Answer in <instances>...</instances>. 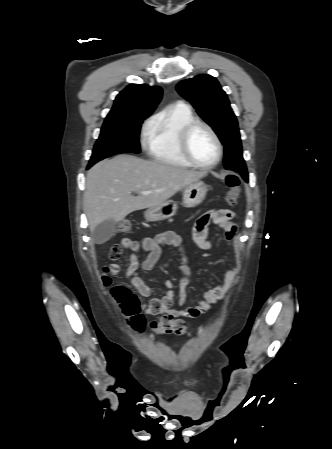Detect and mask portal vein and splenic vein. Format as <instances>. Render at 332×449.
<instances>
[{
    "mask_svg": "<svg viewBox=\"0 0 332 449\" xmlns=\"http://www.w3.org/2000/svg\"><path fill=\"white\" fill-rule=\"evenodd\" d=\"M151 193V191H143L142 192V194H144V195H147V194H150Z\"/></svg>",
    "mask_w": 332,
    "mask_h": 449,
    "instance_id": "obj_1",
    "label": "portal vein and splenic vein"
}]
</instances>
